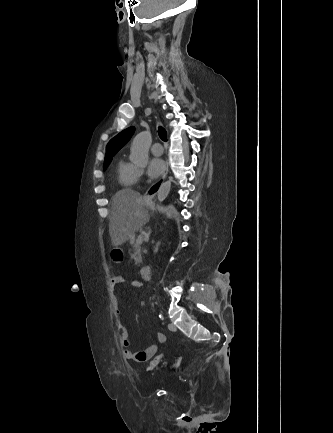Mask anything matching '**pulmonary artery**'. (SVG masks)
I'll list each match as a JSON object with an SVG mask.
<instances>
[{
  "instance_id": "pulmonary-artery-1",
  "label": "pulmonary artery",
  "mask_w": 333,
  "mask_h": 433,
  "mask_svg": "<svg viewBox=\"0 0 333 433\" xmlns=\"http://www.w3.org/2000/svg\"><path fill=\"white\" fill-rule=\"evenodd\" d=\"M151 152L154 156H161L163 153V146L160 143H154L151 147Z\"/></svg>"
}]
</instances>
